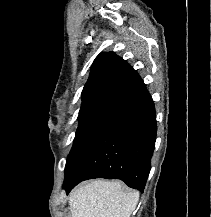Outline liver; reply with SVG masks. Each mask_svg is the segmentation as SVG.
I'll return each mask as SVG.
<instances>
[{"mask_svg":"<svg viewBox=\"0 0 211 217\" xmlns=\"http://www.w3.org/2000/svg\"><path fill=\"white\" fill-rule=\"evenodd\" d=\"M139 200L119 181L95 180L69 196L71 217H130Z\"/></svg>","mask_w":211,"mask_h":217,"instance_id":"1","label":"liver"}]
</instances>
